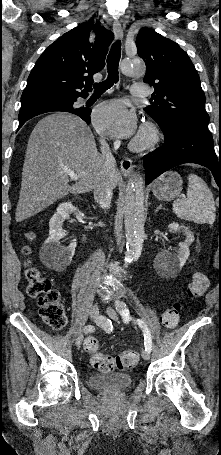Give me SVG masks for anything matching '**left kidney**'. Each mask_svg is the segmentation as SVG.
Segmentation results:
<instances>
[{
	"mask_svg": "<svg viewBox=\"0 0 221 455\" xmlns=\"http://www.w3.org/2000/svg\"><path fill=\"white\" fill-rule=\"evenodd\" d=\"M170 231L182 232L186 235L184 242L179 243V251L177 254H172L167 251L159 252L155 258L157 267L165 272L175 273L181 270L186 260L189 258V246L194 241L193 233L185 226H180L178 223H171L168 226Z\"/></svg>",
	"mask_w": 221,
	"mask_h": 455,
	"instance_id": "left-kidney-1",
	"label": "left kidney"
}]
</instances>
